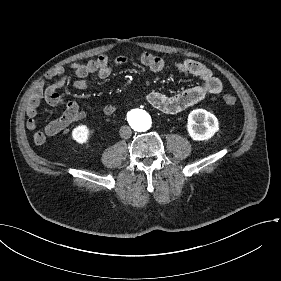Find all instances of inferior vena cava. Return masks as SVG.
I'll return each mask as SVG.
<instances>
[{
  "instance_id": "602c4592",
  "label": "inferior vena cava",
  "mask_w": 281,
  "mask_h": 281,
  "mask_svg": "<svg viewBox=\"0 0 281 281\" xmlns=\"http://www.w3.org/2000/svg\"><path fill=\"white\" fill-rule=\"evenodd\" d=\"M119 133L121 138L128 139L131 137L132 131L129 126H122Z\"/></svg>"
}]
</instances>
